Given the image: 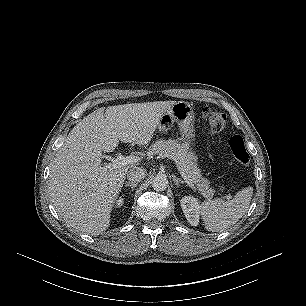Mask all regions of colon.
<instances>
[{"label":"colon","instance_id":"5ec220e1","mask_svg":"<svg viewBox=\"0 0 306 306\" xmlns=\"http://www.w3.org/2000/svg\"><path fill=\"white\" fill-rule=\"evenodd\" d=\"M202 116L211 134L221 132L226 126V116L212 108H204ZM229 148L233 157L240 165L245 166L249 163V154L245 148L244 140L241 136H232L229 139Z\"/></svg>","mask_w":306,"mask_h":306}]
</instances>
